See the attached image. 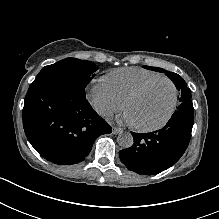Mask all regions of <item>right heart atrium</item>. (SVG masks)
I'll list each match as a JSON object with an SVG mask.
<instances>
[{"instance_id": "1", "label": "right heart atrium", "mask_w": 219, "mask_h": 219, "mask_svg": "<svg viewBox=\"0 0 219 219\" xmlns=\"http://www.w3.org/2000/svg\"><path fill=\"white\" fill-rule=\"evenodd\" d=\"M86 96L96 112L103 117H111L123 108V102L117 99L104 80L89 86Z\"/></svg>"}]
</instances>
